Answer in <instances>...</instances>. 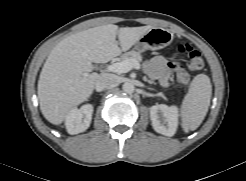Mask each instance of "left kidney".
<instances>
[{"instance_id":"obj_1","label":"left kidney","mask_w":246,"mask_h":181,"mask_svg":"<svg viewBox=\"0 0 246 181\" xmlns=\"http://www.w3.org/2000/svg\"><path fill=\"white\" fill-rule=\"evenodd\" d=\"M178 108L165 104L154 105L150 108V118L153 129L162 135L173 136L178 127Z\"/></svg>"}]
</instances>
